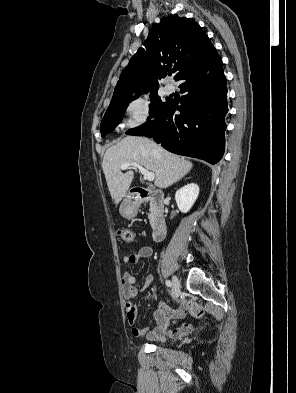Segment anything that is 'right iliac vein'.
Listing matches in <instances>:
<instances>
[{"label": "right iliac vein", "mask_w": 296, "mask_h": 393, "mask_svg": "<svg viewBox=\"0 0 296 393\" xmlns=\"http://www.w3.org/2000/svg\"><path fill=\"white\" fill-rule=\"evenodd\" d=\"M172 282H173L172 293H173V297L176 299L180 294V282L176 276H173Z\"/></svg>", "instance_id": "63e3f726"}]
</instances>
